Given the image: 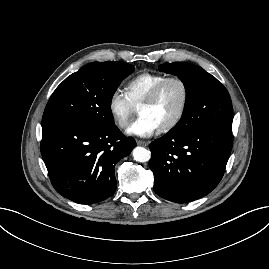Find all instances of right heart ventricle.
I'll return each instance as SVG.
<instances>
[{
  "instance_id": "obj_1",
  "label": "right heart ventricle",
  "mask_w": 269,
  "mask_h": 269,
  "mask_svg": "<svg viewBox=\"0 0 269 269\" xmlns=\"http://www.w3.org/2000/svg\"><path fill=\"white\" fill-rule=\"evenodd\" d=\"M167 75L144 72L133 77L125 86V93L133 106L139 105L148 93Z\"/></svg>"
}]
</instances>
